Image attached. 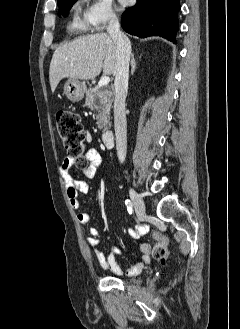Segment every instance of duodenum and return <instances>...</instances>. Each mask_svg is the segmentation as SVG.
<instances>
[{"mask_svg": "<svg viewBox=\"0 0 240 329\" xmlns=\"http://www.w3.org/2000/svg\"><path fill=\"white\" fill-rule=\"evenodd\" d=\"M102 141L105 146L111 148L114 144V132L113 130H107L102 134Z\"/></svg>", "mask_w": 240, "mask_h": 329, "instance_id": "410a0bca", "label": "duodenum"}]
</instances>
